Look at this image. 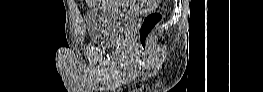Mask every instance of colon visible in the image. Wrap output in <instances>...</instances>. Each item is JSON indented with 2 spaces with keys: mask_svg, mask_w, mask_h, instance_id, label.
I'll list each match as a JSON object with an SVG mask.
<instances>
[{
  "mask_svg": "<svg viewBox=\"0 0 263 92\" xmlns=\"http://www.w3.org/2000/svg\"><path fill=\"white\" fill-rule=\"evenodd\" d=\"M161 20L162 13L160 10H153L144 17L139 28L140 50H145L149 36Z\"/></svg>",
  "mask_w": 263,
  "mask_h": 92,
  "instance_id": "5ec220e1",
  "label": "colon"
}]
</instances>
